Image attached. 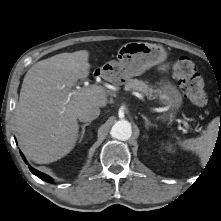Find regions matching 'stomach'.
I'll return each instance as SVG.
<instances>
[{"instance_id": "obj_1", "label": "stomach", "mask_w": 221, "mask_h": 221, "mask_svg": "<svg viewBox=\"0 0 221 221\" xmlns=\"http://www.w3.org/2000/svg\"><path fill=\"white\" fill-rule=\"evenodd\" d=\"M167 58L165 49L147 42H130L123 45L117 53V61L112 60L104 65V72L109 79L117 84H123L131 77L139 76L156 65L160 70H167L168 64H163ZM156 97L161 104L168 107L165 118L172 119L182 104V95L177 87L168 80L162 79L156 89Z\"/></svg>"}]
</instances>
